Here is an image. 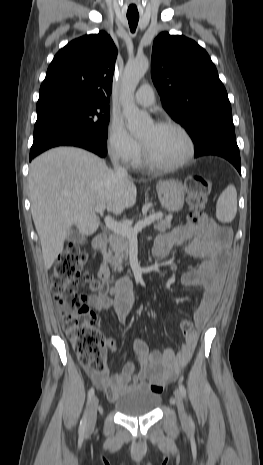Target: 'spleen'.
<instances>
[{"instance_id":"3e777b00","label":"spleen","mask_w":263,"mask_h":465,"mask_svg":"<svg viewBox=\"0 0 263 465\" xmlns=\"http://www.w3.org/2000/svg\"><path fill=\"white\" fill-rule=\"evenodd\" d=\"M237 213V192L229 185L219 196L216 204V217L220 222H231Z\"/></svg>"}]
</instances>
